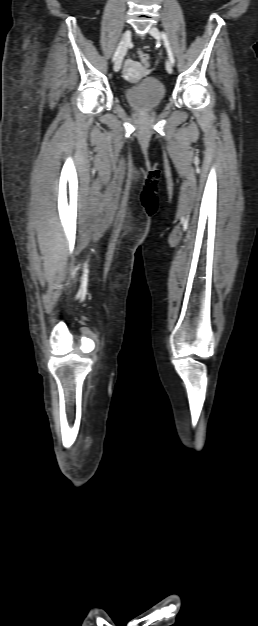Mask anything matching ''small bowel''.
I'll return each instance as SVG.
<instances>
[{
    "label": "small bowel",
    "mask_w": 258,
    "mask_h": 626,
    "mask_svg": "<svg viewBox=\"0 0 258 626\" xmlns=\"http://www.w3.org/2000/svg\"><path fill=\"white\" fill-rule=\"evenodd\" d=\"M135 67H136V63H135L134 61H132V60H128V61L126 62V70H127L128 72H131V71H132Z\"/></svg>",
    "instance_id": "small-bowel-1"
}]
</instances>
